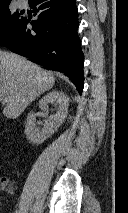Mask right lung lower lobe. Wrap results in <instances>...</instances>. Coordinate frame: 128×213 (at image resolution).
<instances>
[{
  "instance_id": "right-lung-lower-lobe-1",
  "label": "right lung lower lobe",
  "mask_w": 128,
  "mask_h": 213,
  "mask_svg": "<svg viewBox=\"0 0 128 213\" xmlns=\"http://www.w3.org/2000/svg\"><path fill=\"white\" fill-rule=\"evenodd\" d=\"M29 4L38 6L34 14L38 20L31 22L32 29L24 18L0 46L64 73L82 93L84 55L77 34L75 0H31Z\"/></svg>"
}]
</instances>
